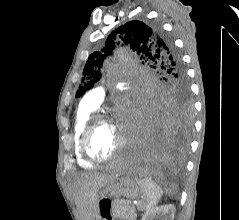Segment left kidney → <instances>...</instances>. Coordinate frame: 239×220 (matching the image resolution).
<instances>
[{
    "instance_id": "1",
    "label": "left kidney",
    "mask_w": 239,
    "mask_h": 220,
    "mask_svg": "<svg viewBox=\"0 0 239 220\" xmlns=\"http://www.w3.org/2000/svg\"><path fill=\"white\" fill-rule=\"evenodd\" d=\"M176 208L174 205H163L148 209L141 220H174Z\"/></svg>"
}]
</instances>
